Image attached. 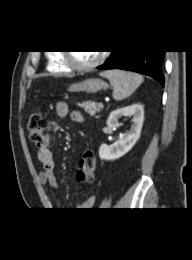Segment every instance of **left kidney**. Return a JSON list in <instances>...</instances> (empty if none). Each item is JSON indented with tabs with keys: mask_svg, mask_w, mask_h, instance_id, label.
<instances>
[{
	"mask_svg": "<svg viewBox=\"0 0 192 260\" xmlns=\"http://www.w3.org/2000/svg\"><path fill=\"white\" fill-rule=\"evenodd\" d=\"M123 116H132L131 129L126 133L121 134L120 138L110 146L103 143L99 148L100 159L116 160L122 157L132 149L139 139L144 121L143 106L140 104H132L112 111L108 117L107 125L111 128L119 127L120 123L118 120Z\"/></svg>",
	"mask_w": 192,
	"mask_h": 260,
	"instance_id": "1",
	"label": "left kidney"
}]
</instances>
